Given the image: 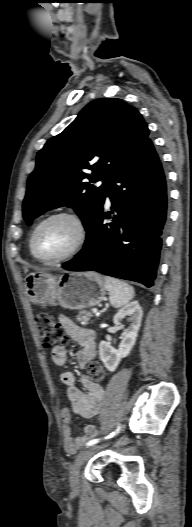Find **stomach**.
<instances>
[{
	"instance_id": "1",
	"label": "stomach",
	"mask_w": 192,
	"mask_h": 527,
	"mask_svg": "<svg viewBox=\"0 0 192 527\" xmlns=\"http://www.w3.org/2000/svg\"><path fill=\"white\" fill-rule=\"evenodd\" d=\"M26 287L31 301L43 308L60 305L80 310L101 303L106 295L104 280L95 272H65L60 276L31 273L26 277Z\"/></svg>"
}]
</instances>
